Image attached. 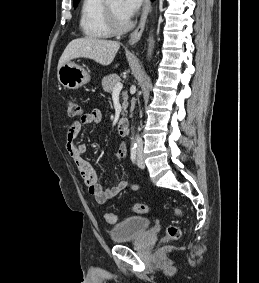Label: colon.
Segmentation results:
<instances>
[{"label": "colon", "mask_w": 259, "mask_h": 283, "mask_svg": "<svg viewBox=\"0 0 259 283\" xmlns=\"http://www.w3.org/2000/svg\"><path fill=\"white\" fill-rule=\"evenodd\" d=\"M66 106L69 116L79 117L81 115L82 109L77 101L73 99H68L66 101ZM147 210H148L147 206L142 203H137L133 206V211L135 213L144 214L147 212ZM175 214L177 216H181L182 212L180 209H175ZM105 219L108 224H114L116 222L115 215L110 212L106 213ZM180 236H181V230L179 229V227L175 225H171L167 228L166 236L164 239L167 241H172V240H177Z\"/></svg>", "instance_id": "1"}]
</instances>
